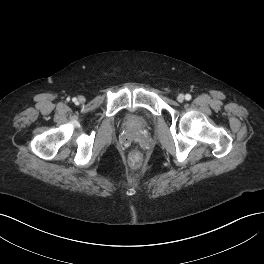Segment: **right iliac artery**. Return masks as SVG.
<instances>
[{"label":"right iliac artery","mask_w":264,"mask_h":264,"mask_svg":"<svg viewBox=\"0 0 264 264\" xmlns=\"http://www.w3.org/2000/svg\"><path fill=\"white\" fill-rule=\"evenodd\" d=\"M72 101H73V102H76V101H77V99H76V98H73V99H72Z\"/></svg>","instance_id":"right-iliac-artery-1"}]
</instances>
